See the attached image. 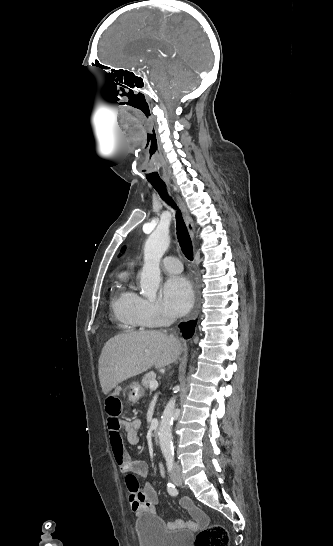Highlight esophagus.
<instances>
[{
  "instance_id": "1",
  "label": "esophagus",
  "mask_w": 333,
  "mask_h": 546,
  "mask_svg": "<svg viewBox=\"0 0 333 546\" xmlns=\"http://www.w3.org/2000/svg\"><path fill=\"white\" fill-rule=\"evenodd\" d=\"M178 202H179V205L182 209V212H183V215H184V218H185V221H186V225H187V228H188V231H189V234L190 236H194V226L192 224V220L188 214V211L184 205V203L182 202V200L178 197ZM197 307H198V298L196 299V303H195V309H194V315L196 314V311H197Z\"/></svg>"
}]
</instances>
